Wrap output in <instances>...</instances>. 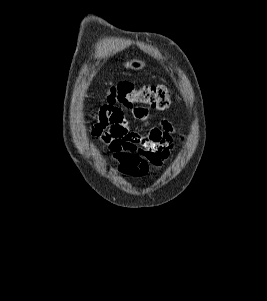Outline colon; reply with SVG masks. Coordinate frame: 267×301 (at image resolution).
Listing matches in <instances>:
<instances>
[{
  "label": "colon",
  "mask_w": 267,
  "mask_h": 301,
  "mask_svg": "<svg viewBox=\"0 0 267 301\" xmlns=\"http://www.w3.org/2000/svg\"><path fill=\"white\" fill-rule=\"evenodd\" d=\"M108 102L131 106L146 104L158 110H164L170 105V92L163 85H146L135 87L131 82H121L106 91Z\"/></svg>",
  "instance_id": "5ec220e1"
}]
</instances>
